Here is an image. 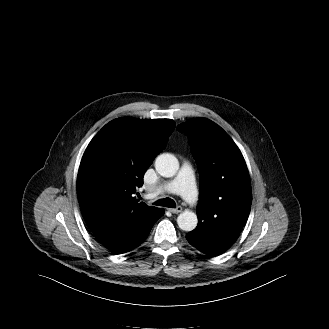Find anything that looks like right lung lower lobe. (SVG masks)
<instances>
[{"mask_svg": "<svg viewBox=\"0 0 329 329\" xmlns=\"http://www.w3.org/2000/svg\"><path fill=\"white\" fill-rule=\"evenodd\" d=\"M164 214L154 213L133 221L115 220L93 232L96 239L113 254H122L140 246L148 237L154 223Z\"/></svg>", "mask_w": 329, "mask_h": 329, "instance_id": "1", "label": "right lung lower lobe"}]
</instances>
